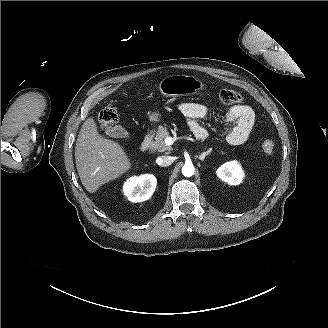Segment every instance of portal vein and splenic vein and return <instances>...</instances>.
<instances>
[{"label":"portal vein and splenic vein","mask_w":328,"mask_h":328,"mask_svg":"<svg viewBox=\"0 0 328 328\" xmlns=\"http://www.w3.org/2000/svg\"><path fill=\"white\" fill-rule=\"evenodd\" d=\"M168 140H172V138L169 137Z\"/></svg>","instance_id":"obj_1"}]
</instances>
